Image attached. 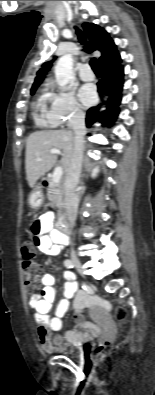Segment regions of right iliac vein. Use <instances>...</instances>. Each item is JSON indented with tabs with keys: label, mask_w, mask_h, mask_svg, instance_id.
<instances>
[{
	"label": "right iliac vein",
	"mask_w": 155,
	"mask_h": 395,
	"mask_svg": "<svg viewBox=\"0 0 155 395\" xmlns=\"http://www.w3.org/2000/svg\"><path fill=\"white\" fill-rule=\"evenodd\" d=\"M72 263H73V265L76 267V269L79 272L83 271L82 264H81L80 260L77 257H72Z\"/></svg>",
	"instance_id": "63e3f726"
}]
</instances>
